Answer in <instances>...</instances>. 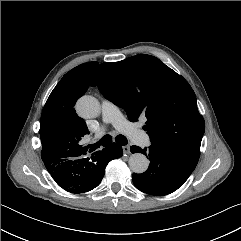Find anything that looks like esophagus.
Returning <instances> with one entry per match:
<instances>
[{"label": "esophagus", "mask_w": 241, "mask_h": 241, "mask_svg": "<svg viewBox=\"0 0 241 241\" xmlns=\"http://www.w3.org/2000/svg\"><path fill=\"white\" fill-rule=\"evenodd\" d=\"M124 154H130V146L125 145L122 147Z\"/></svg>", "instance_id": "34e87169"}]
</instances>
